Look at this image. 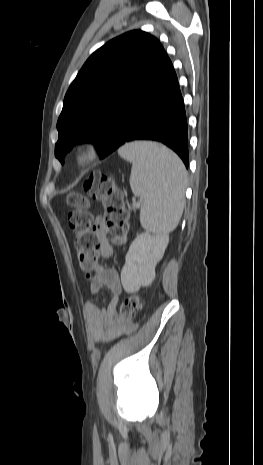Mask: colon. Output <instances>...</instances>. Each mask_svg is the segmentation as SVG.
Here are the masks:
<instances>
[{
	"instance_id": "1",
	"label": "colon",
	"mask_w": 263,
	"mask_h": 465,
	"mask_svg": "<svg viewBox=\"0 0 263 465\" xmlns=\"http://www.w3.org/2000/svg\"><path fill=\"white\" fill-rule=\"evenodd\" d=\"M84 193H72L67 202L72 210L68 215V223L75 234V249L81 271L90 277L98 262V237L95 233V222L88 212L89 198L102 202L104 215L102 223L109 230L113 240L123 244L128 234V212L123 195L114 180L103 173L90 174L83 183ZM140 309V299L131 295L122 303L113 323L120 329L126 328L136 318Z\"/></svg>"
}]
</instances>
